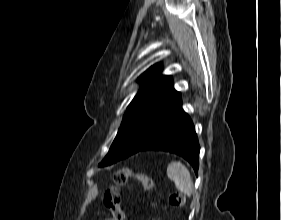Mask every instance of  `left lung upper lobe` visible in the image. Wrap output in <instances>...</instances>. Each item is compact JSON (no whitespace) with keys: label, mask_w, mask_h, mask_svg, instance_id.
<instances>
[{"label":"left lung upper lobe","mask_w":281,"mask_h":220,"mask_svg":"<svg viewBox=\"0 0 281 220\" xmlns=\"http://www.w3.org/2000/svg\"><path fill=\"white\" fill-rule=\"evenodd\" d=\"M161 65L150 67L139 78L141 89L127 108L118 133L100 167L138 152L149 142L169 110L181 99Z\"/></svg>","instance_id":"obj_1"}]
</instances>
